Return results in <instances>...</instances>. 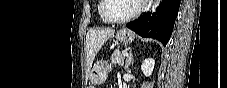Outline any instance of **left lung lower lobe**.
I'll return each instance as SVG.
<instances>
[{
  "instance_id": "obj_1",
  "label": "left lung lower lobe",
  "mask_w": 227,
  "mask_h": 88,
  "mask_svg": "<svg viewBox=\"0 0 227 88\" xmlns=\"http://www.w3.org/2000/svg\"><path fill=\"white\" fill-rule=\"evenodd\" d=\"M181 0H163L156 13H144L126 26L145 38H154L166 46L173 31Z\"/></svg>"
}]
</instances>
